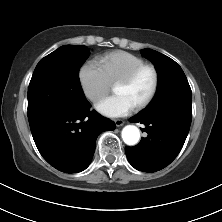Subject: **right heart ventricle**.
Wrapping results in <instances>:
<instances>
[{
  "label": "right heart ventricle",
  "instance_id": "e07e8e85",
  "mask_svg": "<svg viewBox=\"0 0 222 222\" xmlns=\"http://www.w3.org/2000/svg\"><path fill=\"white\" fill-rule=\"evenodd\" d=\"M144 63L145 61L142 58L125 51H114L99 58V64L111 84H115Z\"/></svg>",
  "mask_w": 222,
  "mask_h": 222
}]
</instances>
